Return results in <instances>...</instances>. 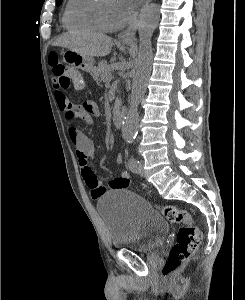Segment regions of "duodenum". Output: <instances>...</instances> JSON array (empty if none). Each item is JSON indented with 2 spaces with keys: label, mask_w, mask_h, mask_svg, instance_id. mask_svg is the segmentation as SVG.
Listing matches in <instances>:
<instances>
[{
  "label": "duodenum",
  "mask_w": 245,
  "mask_h": 300,
  "mask_svg": "<svg viewBox=\"0 0 245 300\" xmlns=\"http://www.w3.org/2000/svg\"><path fill=\"white\" fill-rule=\"evenodd\" d=\"M124 114L122 111H118L114 116V124L117 128H121L123 125Z\"/></svg>",
  "instance_id": "obj_1"
}]
</instances>
